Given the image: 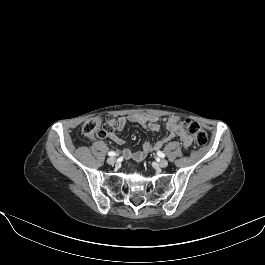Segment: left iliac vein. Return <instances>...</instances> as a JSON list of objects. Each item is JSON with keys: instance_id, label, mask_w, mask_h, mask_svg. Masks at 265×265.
<instances>
[{"instance_id": "left-iliac-vein-1", "label": "left iliac vein", "mask_w": 265, "mask_h": 265, "mask_svg": "<svg viewBox=\"0 0 265 265\" xmlns=\"http://www.w3.org/2000/svg\"><path fill=\"white\" fill-rule=\"evenodd\" d=\"M158 164L160 167L165 168L168 166V161L165 159H161Z\"/></svg>"}]
</instances>
